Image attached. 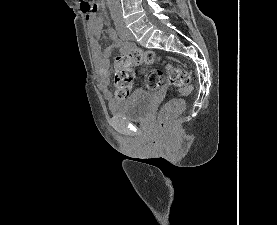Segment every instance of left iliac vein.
Masks as SVG:
<instances>
[{
	"mask_svg": "<svg viewBox=\"0 0 277 225\" xmlns=\"http://www.w3.org/2000/svg\"><path fill=\"white\" fill-rule=\"evenodd\" d=\"M123 29H124V32H125V35H126L127 39H129V40H134L135 39L133 33L126 26H124Z\"/></svg>",
	"mask_w": 277,
	"mask_h": 225,
	"instance_id": "left-iliac-vein-1",
	"label": "left iliac vein"
}]
</instances>
